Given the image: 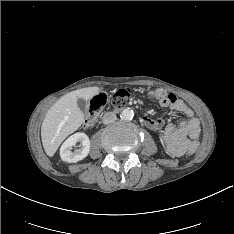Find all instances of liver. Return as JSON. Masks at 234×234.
Returning a JSON list of instances; mask_svg holds the SVG:
<instances>
[{"label":"liver","instance_id":"1","mask_svg":"<svg viewBox=\"0 0 234 234\" xmlns=\"http://www.w3.org/2000/svg\"><path fill=\"white\" fill-rule=\"evenodd\" d=\"M99 92L100 88L96 86L69 92L47 111L41 126V139L48 156H53L63 140L83 123L84 114L77 100H89Z\"/></svg>","mask_w":234,"mask_h":234}]
</instances>
